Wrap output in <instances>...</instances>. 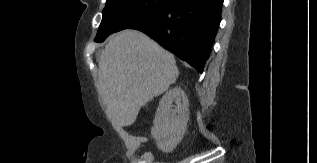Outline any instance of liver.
I'll use <instances>...</instances> for the list:
<instances>
[{"instance_id":"6515ba94","label":"liver","mask_w":317,"mask_h":163,"mask_svg":"<svg viewBox=\"0 0 317 163\" xmlns=\"http://www.w3.org/2000/svg\"><path fill=\"white\" fill-rule=\"evenodd\" d=\"M179 75L174 56L137 30L110 37L98 61L97 90L115 128L132 125L141 107Z\"/></svg>"}]
</instances>
